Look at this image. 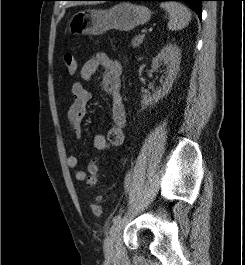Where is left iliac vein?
<instances>
[{
    "mask_svg": "<svg viewBox=\"0 0 245 265\" xmlns=\"http://www.w3.org/2000/svg\"><path fill=\"white\" fill-rule=\"evenodd\" d=\"M124 221L122 219L116 221L111 226L108 236L104 240V254L106 257L110 258L114 255V244L118 233L123 227Z\"/></svg>",
    "mask_w": 245,
    "mask_h": 265,
    "instance_id": "obj_1",
    "label": "left iliac vein"
}]
</instances>
